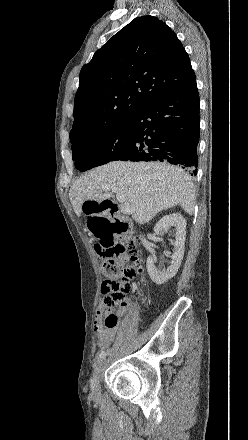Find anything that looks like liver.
Wrapping results in <instances>:
<instances>
[{"instance_id": "liver-1", "label": "liver", "mask_w": 248, "mask_h": 440, "mask_svg": "<svg viewBox=\"0 0 248 440\" xmlns=\"http://www.w3.org/2000/svg\"><path fill=\"white\" fill-rule=\"evenodd\" d=\"M117 188L125 204L133 209L132 218L139 224L148 223L160 211L176 205L192 215L195 188L192 177L182 168L161 162L113 161L92 169L75 181L69 191L74 212L79 217L85 201L110 198Z\"/></svg>"}]
</instances>
